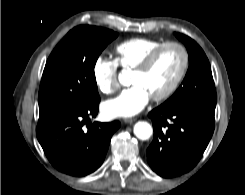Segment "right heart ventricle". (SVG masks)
Returning <instances> with one entry per match:
<instances>
[{
	"label": "right heart ventricle",
	"instance_id": "1",
	"mask_svg": "<svg viewBox=\"0 0 245 195\" xmlns=\"http://www.w3.org/2000/svg\"><path fill=\"white\" fill-rule=\"evenodd\" d=\"M163 42L148 38H132L115 47V62L123 69H134L153 49Z\"/></svg>",
	"mask_w": 245,
	"mask_h": 195
}]
</instances>
